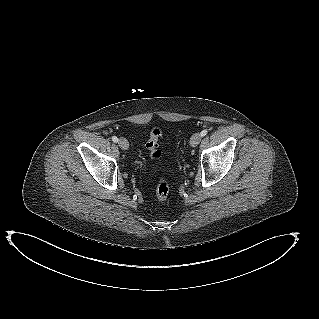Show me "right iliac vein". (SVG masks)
Returning <instances> with one entry per match:
<instances>
[{
	"label": "right iliac vein",
	"mask_w": 319,
	"mask_h": 319,
	"mask_svg": "<svg viewBox=\"0 0 319 319\" xmlns=\"http://www.w3.org/2000/svg\"><path fill=\"white\" fill-rule=\"evenodd\" d=\"M118 145L122 150H127L129 148V143L125 138H120L118 140Z\"/></svg>",
	"instance_id": "right-iliac-vein-1"
}]
</instances>
